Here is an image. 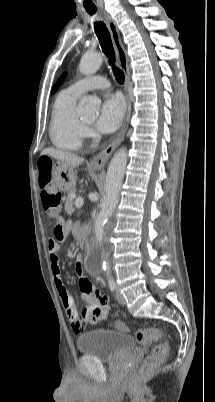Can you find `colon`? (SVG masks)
<instances>
[{
    "instance_id": "obj_1",
    "label": "colon",
    "mask_w": 215,
    "mask_h": 402,
    "mask_svg": "<svg viewBox=\"0 0 215 402\" xmlns=\"http://www.w3.org/2000/svg\"><path fill=\"white\" fill-rule=\"evenodd\" d=\"M37 164L39 168L38 184L41 189V202L44 210L53 221H59V207L61 203V194L56 191L52 185L51 169L53 167L51 156H38ZM117 326L125 330L126 326L118 322ZM136 340L141 345H147L157 342V345L145 358L140 375L145 376L159 366L168 353V344L164 340L163 333L158 328H144L136 332Z\"/></svg>"
}]
</instances>
